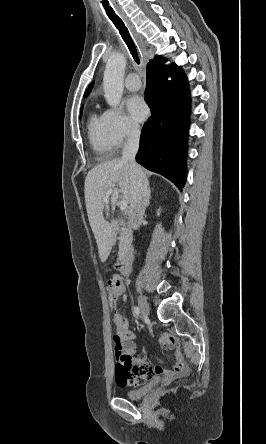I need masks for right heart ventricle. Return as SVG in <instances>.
Returning a JSON list of instances; mask_svg holds the SVG:
<instances>
[{
    "mask_svg": "<svg viewBox=\"0 0 266 444\" xmlns=\"http://www.w3.org/2000/svg\"><path fill=\"white\" fill-rule=\"evenodd\" d=\"M87 131L93 151L103 158L112 156L115 147L108 135L104 116L92 113L88 118Z\"/></svg>",
    "mask_w": 266,
    "mask_h": 444,
    "instance_id": "obj_1",
    "label": "right heart ventricle"
}]
</instances>
